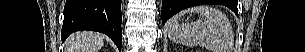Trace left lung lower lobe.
<instances>
[{
  "instance_id": "0a47b994",
  "label": "left lung lower lobe",
  "mask_w": 305,
  "mask_h": 52,
  "mask_svg": "<svg viewBox=\"0 0 305 52\" xmlns=\"http://www.w3.org/2000/svg\"><path fill=\"white\" fill-rule=\"evenodd\" d=\"M201 4H213L212 0H162V23L165 22L178 13L179 11ZM235 14H238L237 11V1H233V6L230 8Z\"/></svg>"
}]
</instances>
